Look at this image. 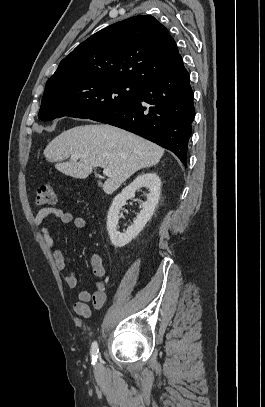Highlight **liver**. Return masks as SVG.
Listing matches in <instances>:
<instances>
[{
	"mask_svg": "<svg viewBox=\"0 0 265 407\" xmlns=\"http://www.w3.org/2000/svg\"><path fill=\"white\" fill-rule=\"evenodd\" d=\"M163 154L155 143L108 124L68 129L44 150L59 172L73 178L85 179L96 167L110 169L112 175L103 185L106 194L115 192L138 170L156 165ZM72 155H79V161L63 162Z\"/></svg>",
	"mask_w": 265,
	"mask_h": 407,
	"instance_id": "obj_1",
	"label": "liver"
}]
</instances>
